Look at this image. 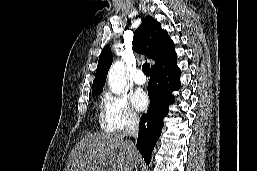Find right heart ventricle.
Segmentation results:
<instances>
[{
	"mask_svg": "<svg viewBox=\"0 0 257 171\" xmlns=\"http://www.w3.org/2000/svg\"><path fill=\"white\" fill-rule=\"evenodd\" d=\"M100 125H101V128H102L103 130H109V129L106 127V125L104 124L102 118H101V121H100Z\"/></svg>",
	"mask_w": 257,
	"mask_h": 171,
	"instance_id": "e07e8e85",
	"label": "right heart ventricle"
}]
</instances>
